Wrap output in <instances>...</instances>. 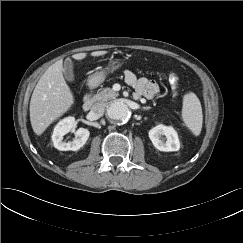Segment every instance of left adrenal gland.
<instances>
[{"instance_id": "a2214340", "label": "left adrenal gland", "mask_w": 243, "mask_h": 243, "mask_svg": "<svg viewBox=\"0 0 243 243\" xmlns=\"http://www.w3.org/2000/svg\"><path fill=\"white\" fill-rule=\"evenodd\" d=\"M148 109H150V107H146V108H144V110H148Z\"/></svg>"}]
</instances>
